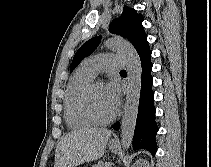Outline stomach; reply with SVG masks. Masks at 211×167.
<instances>
[{
    "label": "stomach",
    "mask_w": 211,
    "mask_h": 167,
    "mask_svg": "<svg viewBox=\"0 0 211 167\" xmlns=\"http://www.w3.org/2000/svg\"><path fill=\"white\" fill-rule=\"evenodd\" d=\"M109 149L112 151V152H118L120 147H119V144L118 143H115V142H112L110 141L109 142Z\"/></svg>",
    "instance_id": "1"
}]
</instances>
